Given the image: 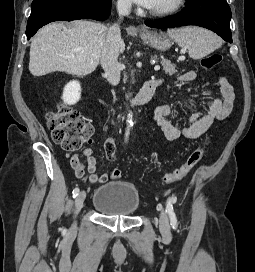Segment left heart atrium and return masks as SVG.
Returning <instances> with one entry per match:
<instances>
[{
    "instance_id": "39dd6f15",
    "label": "left heart atrium",
    "mask_w": 255,
    "mask_h": 272,
    "mask_svg": "<svg viewBox=\"0 0 255 272\" xmlns=\"http://www.w3.org/2000/svg\"><path fill=\"white\" fill-rule=\"evenodd\" d=\"M138 5H141L146 8H150L154 2V0H133Z\"/></svg>"
}]
</instances>
